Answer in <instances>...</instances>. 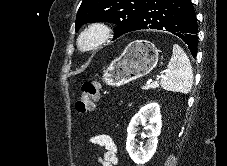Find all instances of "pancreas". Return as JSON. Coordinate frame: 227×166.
Wrapping results in <instances>:
<instances>
[{
	"mask_svg": "<svg viewBox=\"0 0 227 166\" xmlns=\"http://www.w3.org/2000/svg\"><path fill=\"white\" fill-rule=\"evenodd\" d=\"M155 88H158V84H156V83H153V84H150V85H144L142 87L143 90H149V89H155Z\"/></svg>",
	"mask_w": 227,
	"mask_h": 166,
	"instance_id": "1",
	"label": "pancreas"
}]
</instances>
